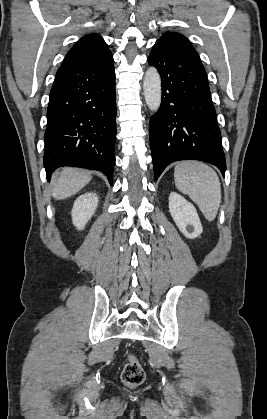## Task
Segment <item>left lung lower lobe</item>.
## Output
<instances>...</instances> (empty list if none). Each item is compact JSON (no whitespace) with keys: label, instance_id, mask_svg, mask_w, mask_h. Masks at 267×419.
I'll use <instances>...</instances> for the list:
<instances>
[{"label":"left lung lower lobe","instance_id":"obj_1","mask_svg":"<svg viewBox=\"0 0 267 419\" xmlns=\"http://www.w3.org/2000/svg\"><path fill=\"white\" fill-rule=\"evenodd\" d=\"M161 75L162 102L151 117L149 138L155 180L179 160H201L224 175L225 155L206 71L192 52L155 43L148 57Z\"/></svg>","mask_w":267,"mask_h":419}]
</instances>
